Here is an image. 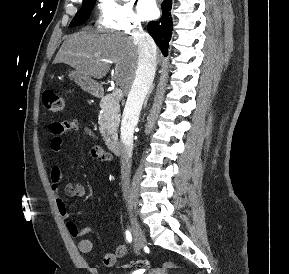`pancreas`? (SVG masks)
Wrapping results in <instances>:
<instances>
[{"label":"pancreas","instance_id":"1","mask_svg":"<svg viewBox=\"0 0 289 274\" xmlns=\"http://www.w3.org/2000/svg\"><path fill=\"white\" fill-rule=\"evenodd\" d=\"M99 130L106 142L117 136L120 123L119 99L112 95L104 96L100 101Z\"/></svg>","mask_w":289,"mask_h":274}]
</instances>
